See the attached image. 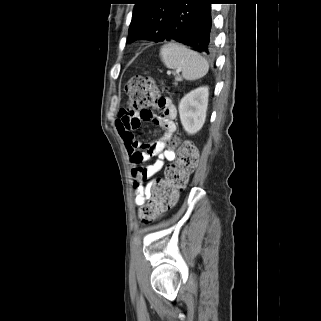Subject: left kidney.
<instances>
[{"label":"left kidney","mask_w":321,"mask_h":321,"mask_svg":"<svg viewBox=\"0 0 321 321\" xmlns=\"http://www.w3.org/2000/svg\"><path fill=\"white\" fill-rule=\"evenodd\" d=\"M209 88L199 87L186 94L179 103V115L184 130L196 134L204 125Z\"/></svg>","instance_id":"5707ae66"}]
</instances>
